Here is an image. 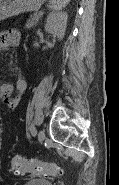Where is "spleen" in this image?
<instances>
[{"label": "spleen", "mask_w": 119, "mask_h": 185, "mask_svg": "<svg viewBox=\"0 0 119 185\" xmlns=\"http://www.w3.org/2000/svg\"><path fill=\"white\" fill-rule=\"evenodd\" d=\"M70 0H50V8L54 11H59L63 9Z\"/></svg>", "instance_id": "obj_1"}]
</instances>
